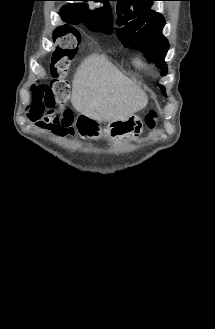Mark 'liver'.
<instances>
[{
    "label": "liver",
    "mask_w": 215,
    "mask_h": 329,
    "mask_svg": "<svg viewBox=\"0 0 215 329\" xmlns=\"http://www.w3.org/2000/svg\"><path fill=\"white\" fill-rule=\"evenodd\" d=\"M71 103L92 120L111 122L145 108L148 97L104 57L94 55L84 60L74 76Z\"/></svg>",
    "instance_id": "liver-1"
}]
</instances>
